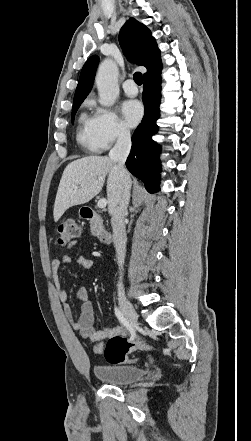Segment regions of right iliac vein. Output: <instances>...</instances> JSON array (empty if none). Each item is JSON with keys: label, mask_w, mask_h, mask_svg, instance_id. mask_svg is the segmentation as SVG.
<instances>
[{"label": "right iliac vein", "mask_w": 251, "mask_h": 441, "mask_svg": "<svg viewBox=\"0 0 251 441\" xmlns=\"http://www.w3.org/2000/svg\"><path fill=\"white\" fill-rule=\"evenodd\" d=\"M119 304L129 324L132 326L133 329H137L139 327L138 316L136 314L133 305L126 298L125 295L123 294L119 295Z\"/></svg>", "instance_id": "right-iliac-vein-1"}]
</instances>
